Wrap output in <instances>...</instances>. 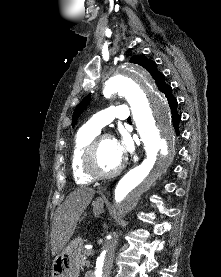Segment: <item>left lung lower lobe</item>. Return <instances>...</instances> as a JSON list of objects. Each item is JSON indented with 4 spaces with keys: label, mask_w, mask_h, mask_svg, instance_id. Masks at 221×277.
I'll list each match as a JSON object with an SVG mask.
<instances>
[{
    "label": "left lung lower lobe",
    "mask_w": 221,
    "mask_h": 277,
    "mask_svg": "<svg viewBox=\"0 0 221 277\" xmlns=\"http://www.w3.org/2000/svg\"><path fill=\"white\" fill-rule=\"evenodd\" d=\"M167 98V101L169 103L170 109H171V113H172V121L174 124V128L176 129V133L179 135V130H178V125L180 122V116L178 115L176 108H177V100L176 98H174V96L172 95V88L171 86H168L164 92H163Z\"/></svg>",
    "instance_id": "0a47b994"
}]
</instances>
